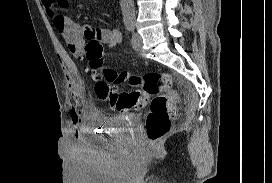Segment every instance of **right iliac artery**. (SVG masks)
<instances>
[{
  "label": "right iliac artery",
  "instance_id": "82829eb1",
  "mask_svg": "<svg viewBox=\"0 0 272 183\" xmlns=\"http://www.w3.org/2000/svg\"><path fill=\"white\" fill-rule=\"evenodd\" d=\"M126 29H127V31H131L133 29V26L128 24V25H126Z\"/></svg>",
  "mask_w": 272,
  "mask_h": 183
}]
</instances>
